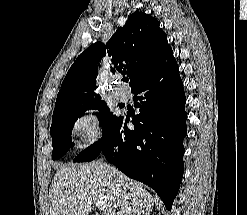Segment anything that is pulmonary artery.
Listing matches in <instances>:
<instances>
[{"label": "pulmonary artery", "instance_id": "obj_1", "mask_svg": "<svg viewBox=\"0 0 247 215\" xmlns=\"http://www.w3.org/2000/svg\"><path fill=\"white\" fill-rule=\"evenodd\" d=\"M115 98L118 101L124 102L128 99V94L127 92L123 89V87L121 86L119 89L116 90L115 92Z\"/></svg>", "mask_w": 247, "mask_h": 215}]
</instances>
